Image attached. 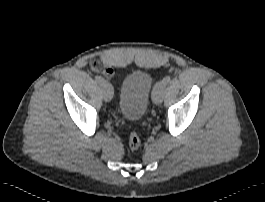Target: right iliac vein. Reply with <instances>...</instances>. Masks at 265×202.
I'll list each match as a JSON object with an SVG mask.
<instances>
[{
  "instance_id": "1",
  "label": "right iliac vein",
  "mask_w": 265,
  "mask_h": 202,
  "mask_svg": "<svg viewBox=\"0 0 265 202\" xmlns=\"http://www.w3.org/2000/svg\"><path fill=\"white\" fill-rule=\"evenodd\" d=\"M102 95L105 101L109 102L113 98V88L110 83L104 82L102 85Z\"/></svg>"
}]
</instances>
